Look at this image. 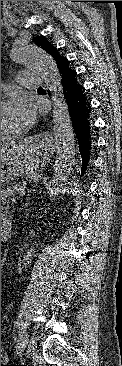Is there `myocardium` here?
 Returning <instances> with one entry per match:
<instances>
[{
    "label": "myocardium",
    "instance_id": "f54148a6",
    "mask_svg": "<svg viewBox=\"0 0 122 366\" xmlns=\"http://www.w3.org/2000/svg\"><path fill=\"white\" fill-rule=\"evenodd\" d=\"M7 101L5 99L1 98V107L6 106ZM16 135L9 136V137H1V144H9L12 143L15 140Z\"/></svg>",
    "mask_w": 122,
    "mask_h": 366
}]
</instances>
